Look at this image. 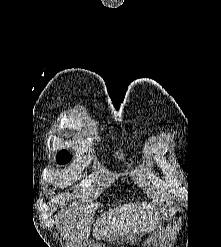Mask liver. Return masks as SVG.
Segmentation results:
<instances>
[{"label": "liver", "mask_w": 221, "mask_h": 247, "mask_svg": "<svg viewBox=\"0 0 221 247\" xmlns=\"http://www.w3.org/2000/svg\"><path fill=\"white\" fill-rule=\"evenodd\" d=\"M60 220L64 225V232L73 242V247H83L87 243L88 225L90 218L86 211L72 208L64 210L59 214ZM157 220L153 215V206L128 205L123 208L109 210L102 214L94 224V236H113L123 235L129 232L145 230L147 226Z\"/></svg>", "instance_id": "liver-1"}]
</instances>
